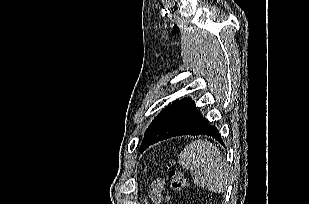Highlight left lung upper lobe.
I'll use <instances>...</instances> for the list:
<instances>
[{
	"label": "left lung upper lobe",
	"mask_w": 309,
	"mask_h": 204,
	"mask_svg": "<svg viewBox=\"0 0 309 204\" xmlns=\"http://www.w3.org/2000/svg\"><path fill=\"white\" fill-rule=\"evenodd\" d=\"M169 107H170V106H169ZM169 107L165 108V109L158 115V117H159L166 109H168ZM158 117H156V118L153 120V122L150 124V126H149L148 129L146 130V133L148 132V130L151 128V126L154 124V122L157 120ZM145 135H146V134H145Z\"/></svg>",
	"instance_id": "1"
}]
</instances>
